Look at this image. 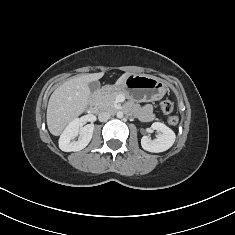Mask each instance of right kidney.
I'll use <instances>...</instances> for the list:
<instances>
[{"label": "right kidney", "instance_id": "obj_1", "mask_svg": "<svg viewBox=\"0 0 235 235\" xmlns=\"http://www.w3.org/2000/svg\"><path fill=\"white\" fill-rule=\"evenodd\" d=\"M93 130L94 125L87 124L82 127L81 119H74L60 136L59 148L64 152H76L84 149L92 139ZM78 134L81 138L78 141H72Z\"/></svg>", "mask_w": 235, "mask_h": 235}]
</instances>
